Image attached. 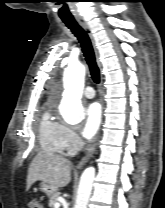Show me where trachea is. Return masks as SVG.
<instances>
[{"mask_svg":"<svg viewBox=\"0 0 165 208\" xmlns=\"http://www.w3.org/2000/svg\"><path fill=\"white\" fill-rule=\"evenodd\" d=\"M63 22L79 40L90 69L91 77L95 83H99L100 73L95 62V55L88 34L74 19H63Z\"/></svg>","mask_w":165,"mask_h":208,"instance_id":"obj_1","label":"trachea"}]
</instances>
